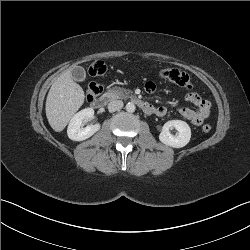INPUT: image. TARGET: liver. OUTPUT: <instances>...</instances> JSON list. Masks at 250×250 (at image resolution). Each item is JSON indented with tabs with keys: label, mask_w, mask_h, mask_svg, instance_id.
I'll return each mask as SVG.
<instances>
[{
	"label": "liver",
	"mask_w": 250,
	"mask_h": 250,
	"mask_svg": "<svg viewBox=\"0 0 250 250\" xmlns=\"http://www.w3.org/2000/svg\"><path fill=\"white\" fill-rule=\"evenodd\" d=\"M84 91L67 69L52 84L46 99V116L52 129L61 132L84 103Z\"/></svg>",
	"instance_id": "6515ba94"
}]
</instances>
